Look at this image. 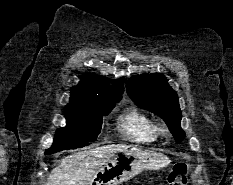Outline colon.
<instances>
[{
	"label": "colon",
	"mask_w": 233,
	"mask_h": 185,
	"mask_svg": "<svg viewBox=\"0 0 233 185\" xmlns=\"http://www.w3.org/2000/svg\"><path fill=\"white\" fill-rule=\"evenodd\" d=\"M188 178V165L185 162L175 163L169 174L168 183L169 185H187Z\"/></svg>",
	"instance_id": "colon-1"
}]
</instances>
